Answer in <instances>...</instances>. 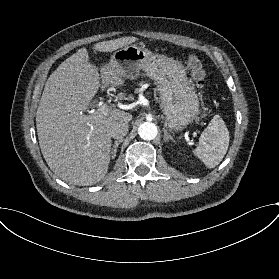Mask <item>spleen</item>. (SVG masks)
Returning a JSON list of instances; mask_svg holds the SVG:
<instances>
[{"instance_id":"1","label":"spleen","mask_w":279,"mask_h":279,"mask_svg":"<svg viewBox=\"0 0 279 279\" xmlns=\"http://www.w3.org/2000/svg\"><path fill=\"white\" fill-rule=\"evenodd\" d=\"M230 134L219 116H214L199 137V143L192 150L194 156L206 167H216L224 158L229 147Z\"/></svg>"}]
</instances>
